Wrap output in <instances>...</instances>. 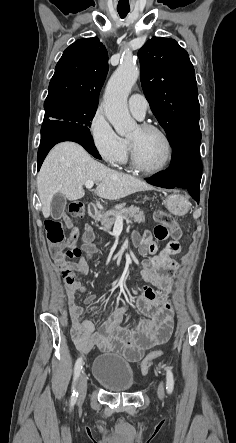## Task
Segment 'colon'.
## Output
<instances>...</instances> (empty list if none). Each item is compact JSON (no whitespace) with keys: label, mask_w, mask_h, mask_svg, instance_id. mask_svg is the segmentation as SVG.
Wrapping results in <instances>:
<instances>
[{"label":"colon","mask_w":236,"mask_h":443,"mask_svg":"<svg viewBox=\"0 0 236 443\" xmlns=\"http://www.w3.org/2000/svg\"><path fill=\"white\" fill-rule=\"evenodd\" d=\"M67 214L74 221L76 218L84 216V206L79 202H71L67 207ZM154 219L158 223V226L154 230V235L157 240H165L171 237L173 240H180L182 237V230L179 223L170 214L157 210L154 214ZM47 237L50 242V250L58 262H65L68 259L77 258L81 255V249L78 247H71L66 250L63 249L62 244L66 239L65 226L61 221L49 220L46 222ZM77 232H73L70 238V242H75L77 238ZM72 246V245H71ZM170 249H174L171 245ZM129 354V353H127ZM164 351L155 350L148 353L146 356H139L137 353L130 355L131 358H135L141 361V372L146 374L152 364V361L162 356Z\"/></svg>","instance_id":"obj_1"}]
</instances>
